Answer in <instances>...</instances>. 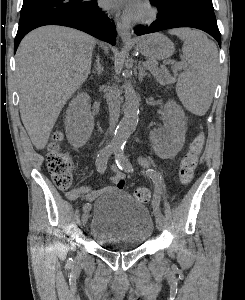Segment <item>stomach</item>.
Returning <instances> with one entry per match:
<instances>
[{"instance_id":"0dacf381","label":"stomach","mask_w":245,"mask_h":300,"mask_svg":"<svg viewBox=\"0 0 245 300\" xmlns=\"http://www.w3.org/2000/svg\"><path fill=\"white\" fill-rule=\"evenodd\" d=\"M135 49L153 60L169 58L174 53V44L161 33H153L137 39Z\"/></svg>"}]
</instances>
